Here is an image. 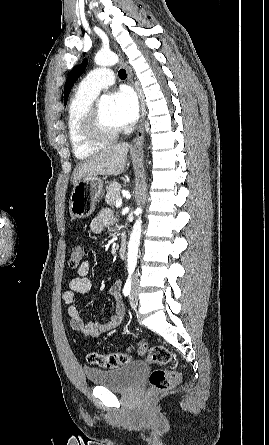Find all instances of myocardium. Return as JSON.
<instances>
[{"label":"myocardium","instance_id":"1","mask_svg":"<svg viewBox=\"0 0 269 445\" xmlns=\"http://www.w3.org/2000/svg\"><path fill=\"white\" fill-rule=\"evenodd\" d=\"M84 137L93 143H107L115 140L123 130L106 125L102 120L99 104L94 102L87 110L81 124Z\"/></svg>","mask_w":269,"mask_h":445}]
</instances>
